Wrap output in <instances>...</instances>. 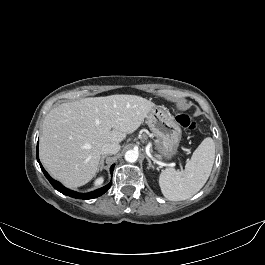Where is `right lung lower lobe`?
I'll list each match as a JSON object with an SVG mask.
<instances>
[{"instance_id": "1", "label": "right lung lower lobe", "mask_w": 265, "mask_h": 265, "mask_svg": "<svg viewBox=\"0 0 265 265\" xmlns=\"http://www.w3.org/2000/svg\"><path fill=\"white\" fill-rule=\"evenodd\" d=\"M37 160L40 164V167L44 173V175L46 176V178L49 180V182L51 183V185L58 190L59 192H61L64 195L76 198V199H93L96 197L101 196L102 194H104L111 186V182L109 184H107L106 186L97 189L95 191L89 192V193H79V192H75L72 190H69L67 188H65L60 182L55 181L54 179H52L49 174L46 172V170L43 168V166L41 165L39 158H38V146H37ZM113 169H114V165L111 166L110 168V172L111 174L113 173Z\"/></svg>"}]
</instances>
